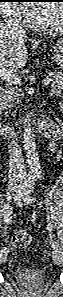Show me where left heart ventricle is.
<instances>
[{"label":"left heart ventricle","mask_w":63,"mask_h":297,"mask_svg":"<svg viewBox=\"0 0 63 297\" xmlns=\"http://www.w3.org/2000/svg\"><path fill=\"white\" fill-rule=\"evenodd\" d=\"M32 16L36 22H41L47 26H58L60 23V9L54 4L40 6L39 11L32 12Z\"/></svg>","instance_id":"left-heart-ventricle-1"}]
</instances>
